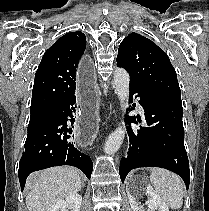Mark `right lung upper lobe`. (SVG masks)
Listing matches in <instances>:
<instances>
[{"mask_svg": "<svg viewBox=\"0 0 209 211\" xmlns=\"http://www.w3.org/2000/svg\"><path fill=\"white\" fill-rule=\"evenodd\" d=\"M86 48V36L71 32L59 38L44 54L35 74L31 112L49 110L75 93L76 70Z\"/></svg>", "mask_w": 209, "mask_h": 211, "instance_id": "1", "label": "right lung upper lobe"}]
</instances>
